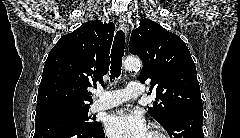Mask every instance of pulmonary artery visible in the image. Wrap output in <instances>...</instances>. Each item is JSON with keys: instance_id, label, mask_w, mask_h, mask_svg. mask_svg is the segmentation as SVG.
I'll return each mask as SVG.
<instances>
[{"instance_id": "1", "label": "pulmonary artery", "mask_w": 240, "mask_h": 138, "mask_svg": "<svg viewBox=\"0 0 240 138\" xmlns=\"http://www.w3.org/2000/svg\"><path fill=\"white\" fill-rule=\"evenodd\" d=\"M144 93L142 84L138 81H131L125 89L106 91L103 89L95 90L98 97L92 104L93 111H101L119 106L126 101L139 97Z\"/></svg>"}]
</instances>
